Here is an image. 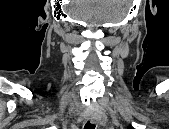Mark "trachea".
<instances>
[{"instance_id": "trachea-1", "label": "trachea", "mask_w": 169, "mask_h": 129, "mask_svg": "<svg viewBox=\"0 0 169 129\" xmlns=\"http://www.w3.org/2000/svg\"><path fill=\"white\" fill-rule=\"evenodd\" d=\"M84 129H95V125L90 123L89 121L85 124Z\"/></svg>"}]
</instances>
